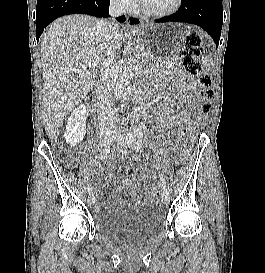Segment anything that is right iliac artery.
Masks as SVG:
<instances>
[{"label": "right iliac artery", "mask_w": 265, "mask_h": 273, "mask_svg": "<svg viewBox=\"0 0 265 273\" xmlns=\"http://www.w3.org/2000/svg\"><path fill=\"white\" fill-rule=\"evenodd\" d=\"M109 153H110V149L104 148V149L101 151V153L99 154V157H98L99 160H104V159H106ZM92 190H93V187H92L91 184H89V185L87 186V191H88V193H91Z\"/></svg>", "instance_id": "obj_1"}]
</instances>
